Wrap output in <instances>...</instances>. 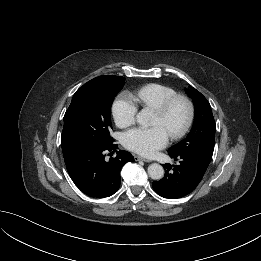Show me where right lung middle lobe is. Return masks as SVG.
Returning <instances> with one entry per match:
<instances>
[{"label":"right lung middle lobe","mask_w":261,"mask_h":261,"mask_svg":"<svg viewBox=\"0 0 261 261\" xmlns=\"http://www.w3.org/2000/svg\"><path fill=\"white\" fill-rule=\"evenodd\" d=\"M124 84V77L112 76L90 80L76 91L64 115L61 135L63 156L114 141L110 135V109L114 97Z\"/></svg>","instance_id":"right-lung-middle-lobe-1"}]
</instances>
